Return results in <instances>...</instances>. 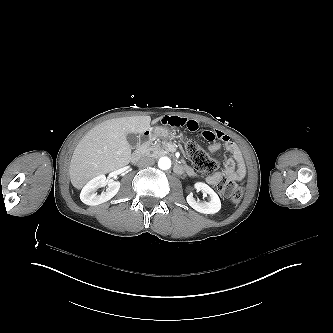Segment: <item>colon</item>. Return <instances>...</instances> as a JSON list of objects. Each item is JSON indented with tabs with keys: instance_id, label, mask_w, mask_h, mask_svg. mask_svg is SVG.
I'll return each instance as SVG.
<instances>
[{
	"instance_id": "5ec220e1",
	"label": "colon",
	"mask_w": 333,
	"mask_h": 333,
	"mask_svg": "<svg viewBox=\"0 0 333 333\" xmlns=\"http://www.w3.org/2000/svg\"><path fill=\"white\" fill-rule=\"evenodd\" d=\"M183 146L188 158L198 171L207 175H213L219 170V161L210 157L195 140H186ZM216 185L224 198L235 203L242 200L244 191L242 187L235 184L232 176L220 178Z\"/></svg>"
}]
</instances>
